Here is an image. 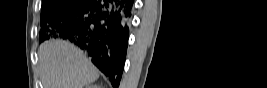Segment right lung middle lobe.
Masks as SVG:
<instances>
[{"instance_id": "dd1d6c3e", "label": "right lung middle lobe", "mask_w": 267, "mask_h": 88, "mask_svg": "<svg viewBox=\"0 0 267 88\" xmlns=\"http://www.w3.org/2000/svg\"><path fill=\"white\" fill-rule=\"evenodd\" d=\"M79 0H43L41 9V34L40 39H45L44 26L48 22L58 18L62 13L68 11L71 7L77 4Z\"/></svg>"}]
</instances>
